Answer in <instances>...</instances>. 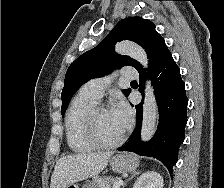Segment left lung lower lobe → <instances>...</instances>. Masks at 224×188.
<instances>
[{
	"instance_id": "1",
	"label": "left lung lower lobe",
	"mask_w": 224,
	"mask_h": 188,
	"mask_svg": "<svg viewBox=\"0 0 224 188\" xmlns=\"http://www.w3.org/2000/svg\"><path fill=\"white\" fill-rule=\"evenodd\" d=\"M158 104L159 124L153 138L144 143L140 138L142 125V103L136 108V128L130 140L119 151L134 152L160 160L172 174L177 162L179 146L184 141V128L187 123L186 108L188 100L179 67L172 55L149 72ZM147 76L140 75L139 91L144 90Z\"/></svg>"
}]
</instances>
